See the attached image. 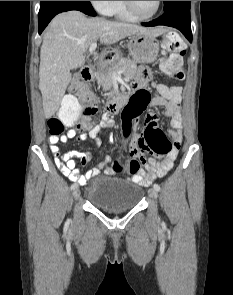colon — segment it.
Here are the masks:
<instances>
[{
    "instance_id": "colon-1",
    "label": "colon",
    "mask_w": 233,
    "mask_h": 295,
    "mask_svg": "<svg viewBox=\"0 0 233 295\" xmlns=\"http://www.w3.org/2000/svg\"><path fill=\"white\" fill-rule=\"evenodd\" d=\"M163 44L171 52V56L161 62L162 71L169 77L183 79L182 57L186 53V44L177 33H168L164 36ZM156 89L159 94L176 97L180 95L179 86H167L157 84ZM84 102L85 107L82 112L81 122L87 126H92V117L97 113V108L93 95L88 86V81L83 77L75 78L65 96L62 106L58 110V117H53L48 121L49 132L52 136H59L64 130V122L72 123L81 115V106L78 100ZM132 126L130 117L124 115V130L128 134ZM131 156L123 165L115 163V172L125 171L135 175L142 163H145L146 154L155 156H165L173 148V142L158 127L146 126L144 132L138 137L129 141Z\"/></svg>"
}]
</instances>
